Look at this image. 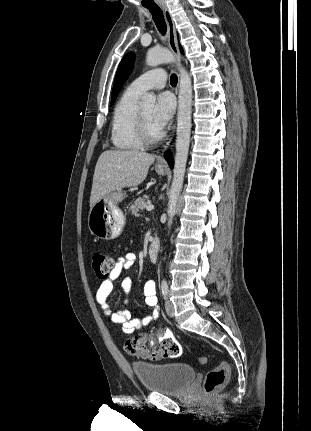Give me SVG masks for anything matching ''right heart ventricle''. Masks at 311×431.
Wrapping results in <instances>:
<instances>
[{"label": "right heart ventricle", "mask_w": 311, "mask_h": 431, "mask_svg": "<svg viewBox=\"0 0 311 431\" xmlns=\"http://www.w3.org/2000/svg\"><path fill=\"white\" fill-rule=\"evenodd\" d=\"M139 97L127 88L114 106L111 142L117 150L136 151L143 146L136 130Z\"/></svg>", "instance_id": "e07e8e85"}]
</instances>
